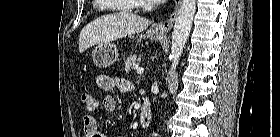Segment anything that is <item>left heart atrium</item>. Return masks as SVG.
<instances>
[{
  "label": "left heart atrium",
  "mask_w": 280,
  "mask_h": 137,
  "mask_svg": "<svg viewBox=\"0 0 280 137\" xmlns=\"http://www.w3.org/2000/svg\"><path fill=\"white\" fill-rule=\"evenodd\" d=\"M164 0H153L154 3H161L163 2Z\"/></svg>",
  "instance_id": "left-heart-atrium-1"
}]
</instances>
